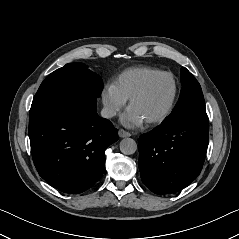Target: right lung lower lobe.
<instances>
[{"instance_id":"1","label":"right lung lower lobe","mask_w":239,"mask_h":239,"mask_svg":"<svg viewBox=\"0 0 239 239\" xmlns=\"http://www.w3.org/2000/svg\"><path fill=\"white\" fill-rule=\"evenodd\" d=\"M97 97L84 91L55 95L30 110L31 152L39 175L58 190L78 194L102 176L105 150L118 140L98 116Z\"/></svg>"}]
</instances>
